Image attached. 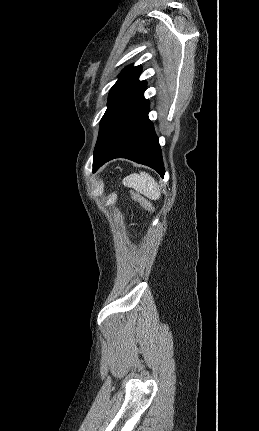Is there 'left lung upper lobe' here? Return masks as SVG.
I'll return each instance as SVG.
<instances>
[{
    "mask_svg": "<svg viewBox=\"0 0 259 431\" xmlns=\"http://www.w3.org/2000/svg\"><path fill=\"white\" fill-rule=\"evenodd\" d=\"M141 66H128L110 90L108 107L100 122L94 153L101 147L119 122L143 101L146 81H139Z\"/></svg>",
    "mask_w": 259,
    "mask_h": 431,
    "instance_id": "obj_1",
    "label": "left lung upper lobe"
}]
</instances>
